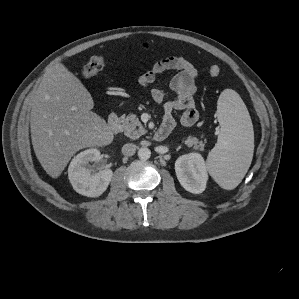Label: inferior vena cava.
I'll return each instance as SVG.
<instances>
[{
  "label": "inferior vena cava",
  "mask_w": 299,
  "mask_h": 299,
  "mask_svg": "<svg viewBox=\"0 0 299 299\" xmlns=\"http://www.w3.org/2000/svg\"><path fill=\"white\" fill-rule=\"evenodd\" d=\"M137 146L133 143L124 144L122 147V153L126 156H132L136 151Z\"/></svg>",
  "instance_id": "inferior-vena-cava-1"
}]
</instances>
